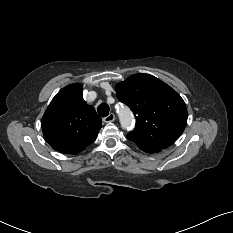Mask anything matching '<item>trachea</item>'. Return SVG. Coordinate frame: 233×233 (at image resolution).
Returning a JSON list of instances; mask_svg holds the SVG:
<instances>
[{"mask_svg": "<svg viewBox=\"0 0 233 233\" xmlns=\"http://www.w3.org/2000/svg\"><path fill=\"white\" fill-rule=\"evenodd\" d=\"M98 114L101 117H106L109 114V106L107 103H101L97 108Z\"/></svg>", "mask_w": 233, "mask_h": 233, "instance_id": "obj_1", "label": "trachea"}]
</instances>
